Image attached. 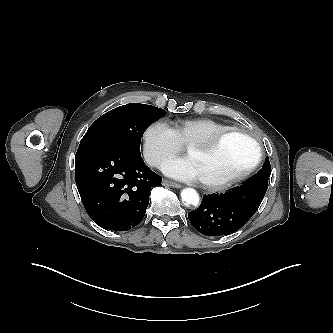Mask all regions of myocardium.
I'll list each match as a JSON object with an SVG mask.
<instances>
[{"label":"myocardium","mask_w":333,"mask_h":333,"mask_svg":"<svg viewBox=\"0 0 333 333\" xmlns=\"http://www.w3.org/2000/svg\"><path fill=\"white\" fill-rule=\"evenodd\" d=\"M234 134L242 135L251 141V143L253 144L254 149H255L254 159L245 169H243L236 175H234L226 180L219 181V182H207V181L200 180L201 185L205 189L210 190V191L226 190V189L232 187L233 185H235L236 183L244 180L246 177H248L259 165L261 158H262V149H261L259 142L251 133H249L245 130H242V129H238V128H230L228 130L219 132L211 137L193 141L189 145H187V152L193 148H196V149H199L202 151H211V150L215 149L222 142V140H224L226 137H228L230 135H234Z\"/></svg>","instance_id":"f54148a6"}]
</instances>
